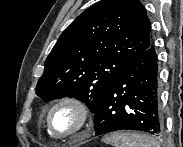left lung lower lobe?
Returning a JSON list of instances; mask_svg holds the SVG:
<instances>
[{
	"mask_svg": "<svg viewBox=\"0 0 183 147\" xmlns=\"http://www.w3.org/2000/svg\"><path fill=\"white\" fill-rule=\"evenodd\" d=\"M94 129L96 135L117 130L154 135L162 132L158 66L152 46L130 62L108 87L95 111Z\"/></svg>",
	"mask_w": 183,
	"mask_h": 147,
	"instance_id": "0a47b994",
	"label": "left lung lower lobe"
}]
</instances>
